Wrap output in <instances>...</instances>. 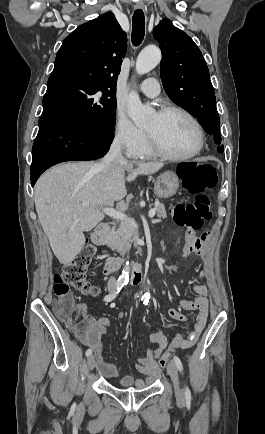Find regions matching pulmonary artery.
Returning a JSON list of instances; mask_svg holds the SVG:
<instances>
[{
	"label": "pulmonary artery",
	"instance_id": "e3ab8cb5",
	"mask_svg": "<svg viewBox=\"0 0 265 434\" xmlns=\"http://www.w3.org/2000/svg\"><path fill=\"white\" fill-rule=\"evenodd\" d=\"M160 84L157 78H147L141 85V90L147 94V96H159Z\"/></svg>",
	"mask_w": 265,
	"mask_h": 434
}]
</instances>
